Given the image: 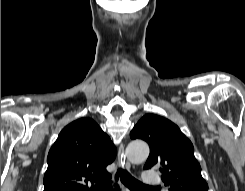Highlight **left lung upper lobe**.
Here are the masks:
<instances>
[{
    "label": "left lung upper lobe",
    "mask_w": 245,
    "mask_h": 191,
    "mask_svg": "<svg viewBox=\"0 0 245 191\" xmlns=\"http://www.w3.org/2000/svg\"><path fill=\"white\" fill-rule=\"evenodd\" d=\"M130 137L149 144L150 154L144 169L159 166L169 191H208L193 144L175 123L157 114H146Z\"/></svg>",
    "instance_id": "left-lung-upper-lobe-1"
}]
</instances>
